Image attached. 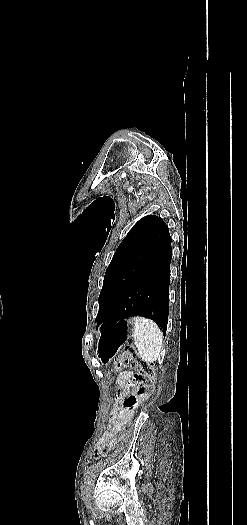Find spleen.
Here are the masks:
<instances>
[{"mask_svg": "<svg viewBox=\"0 0 247 525\" xmlns=\"http://www.w3.org/2000/svg\"><path fill=\"white\" fill-rule=\"evenodd\" d=\"M134 343L145 363L157 361L163 343V333L151 319L134 317Z\"/></svg>", "mask_w": 247, "mask_h": 525, "instance_id": "1", "label": "spleen"}]
</instances>
